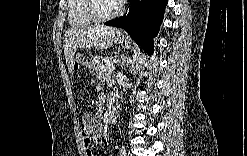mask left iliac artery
<instances>
[{"instance_id":"44dca946","label":"left iliac artery","mask_w":247,"mask_h":156,"mask_svg":"<svg viewBox=\"0 0 247 156\" xmlns=\"http://www.w3.org/2000/svg\"><path fill=\"white\" fill-rule=\"evenodd\" d=\"M121 155L122 156H126L127 154H126V150H125V148L124 147H122V150H121Z\"/></svg>"}]
</instances>
